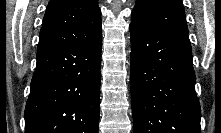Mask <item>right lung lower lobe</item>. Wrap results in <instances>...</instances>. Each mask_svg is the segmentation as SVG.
<instances>
[{"mask_svg":"<svg viewBox=\"0 0 221 133\" xmlns=\"http://www.w3.org/2000/svg\"><path fill=\"white\" fill-rule=\"evenodd\" d=\"M102 29L76 46L37 51L25 133H98Z\"/></svg>","mask_w":221,"mask_h":133,"instance_id":"1","label":"right lung lower lobe"}]
</instances>
